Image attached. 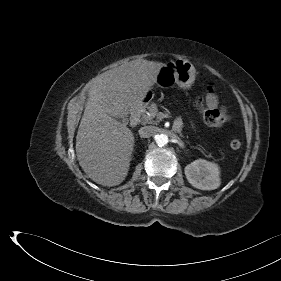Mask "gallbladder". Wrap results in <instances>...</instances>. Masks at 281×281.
<instances>
[{"mask_svg": "<svg viewBox=\"0 0 281 281\" xmlns=\"http://www.w3.org/2000/svg\"><path fill=\"white\" fill-rule=\"evenodd\" d=\"M115 119H117V120H119V121H122V122H124L123 120H121L120 118H115Z\"/></svg>", "mask_w": 281, "mask_h": 281, "instance_id": "bac80fb5", "label": "gallbladder"}]
</instances>
